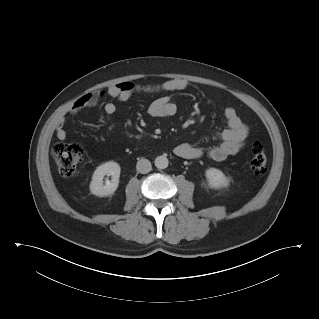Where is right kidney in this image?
Listing matches in <instances>:
<instances>
[{"label": "right kidney", "instance_id": "ca27d5eb", "mask_svg": "<svg viewBox=\"0 0 319 319\" xmlns=\"http://www.w3.org/2000/svg\"><path fill=\"white\" fill-rule=\"evenodd\" d=\"M120 166L118 163L109 161L96 168L92 175L90 182V191L92 194L104 197L113 194L119 185ZM105 175L112 176L111 181H106L103 184V178Z\"/></svg>", "mask_w": 319, "mask_h": 319}]
</instances>
